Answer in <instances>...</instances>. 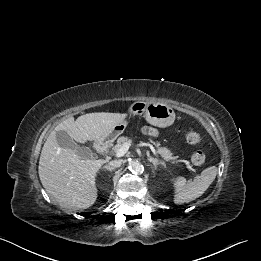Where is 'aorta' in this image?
<instances>
[{"instance_id":"762f6f07","label":"aorta","mask_w":261,"mask_h":261,"mask_svg":"<svg viewBox=\"0 0 261 261\" xmlns=\"http://www.w3.org/2000/svg\"><path fill=\"white\" fill-rule=\"evenodd\" d=\"M129 170L132 173H141L143 171V166L141 165L140 162L136 161V160H132L129 162Z\"/></svg>"}]
</instances>
